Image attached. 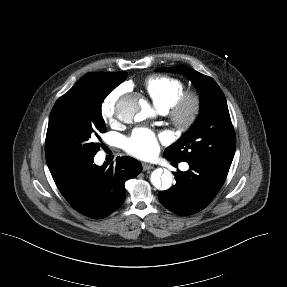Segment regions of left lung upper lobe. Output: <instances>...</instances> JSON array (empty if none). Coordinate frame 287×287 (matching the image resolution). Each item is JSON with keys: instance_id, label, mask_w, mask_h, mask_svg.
<instances>
[{"instance_id": "left-lung-upper-lobe-1", "label": "left lung upper lobe", "mask_w": 287, "mask_h": 287, "mask_svg": "<svg viewBox=\"0 0 287 287\" xmlns=\"http://www.w3.org/2000/svg\"><path fill=\"white\" fill-rule=\"evenodd\" d=\"M157 70L179 72L188 77L201 100L196 122L176 143L165 149L164 156L176 162L200 163L227 175L236 141L222 90L211 77L183 65Z\"/></svg>"}]
</instances>
